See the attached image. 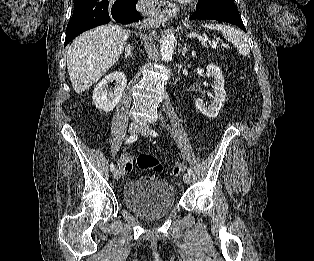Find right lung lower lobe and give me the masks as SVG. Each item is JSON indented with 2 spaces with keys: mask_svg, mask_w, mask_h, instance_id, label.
<instances>
[{
  "mask_svg": "<svg viewBox=\"0 0 314 261\" xmlns=\"http://www.w3.org/2000/svg\"><path fill=\"white\" fill-rule=\"evenodd\" d=\"M76 0L74 12L66 29L65 46L86 30L107 24L110 18L120 23H131L140 19L136 10L137 0Z\"/></svg>",
  "mask_w": 314,
  "mask_h": 261,
  "instance_id": "98d812e1",
  "label": "right lung lower lobe"
}]
</instances>
